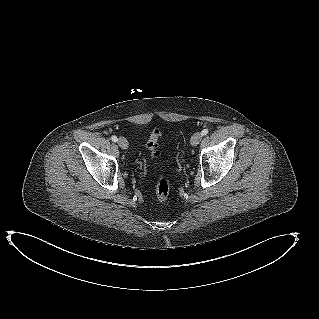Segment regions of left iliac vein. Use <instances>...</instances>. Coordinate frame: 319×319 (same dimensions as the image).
I'll return each mask as SVG.
<instances>
[{
	"mask_svg": "<svg viewBox=\"0 0 319 319\" xmlns=\"http://www.w3.org/2000/svg\"><path fill=\"white\" fill-rule=\"evenodd\" d=\"M201 139H202L201 133H199V132L194 133L193 136L191 137V140H190L191 145L197 146L199 144V142L201 141Z\"/></svg>",
	"mask_w": 319,
	"mask_h": 319,
	"instance_id": "left-iliac-vein-1",
	"label": "left iliac vein"
}]
</instances>
